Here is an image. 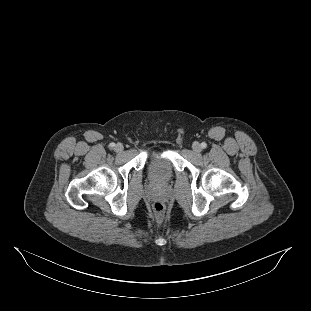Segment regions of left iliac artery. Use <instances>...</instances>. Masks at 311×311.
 Here are the masks:
<instances>
[{"label": "left iliac artery", "mask_w": 311, "mask_h": 311, "mask_svg": "<svg viewBox=\"0 0 311 311\" xmlns=\"http://www.w3.org/2000/svg\"><path fill=\"white\" fill-rule=\"evenodd\" d=\"M206 147H207V144H206L205 142H202V143H201V148L204 149V148H206Z\"/></svg>", "instance_id": "left-iliac-artery-1"}]
</instances>
